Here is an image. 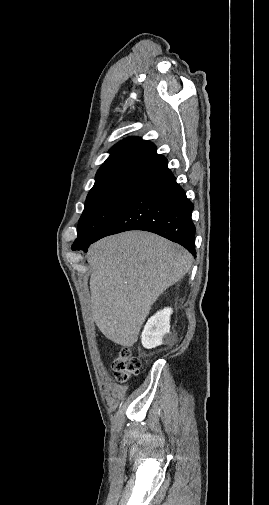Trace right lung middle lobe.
I'll list each match as a JSON object with an SVG mask.
<instances>
[{
    "instance_id": "1",
    "label": "right lung middle lobe",
    "mask_w": 269,
    "mask_h": 505,
    "mask_svg": "<svg viewBox=\"0 0 269 505\" xmlns=\"http://www.w3.org/2000/svg\"><path fill=\"white\" fill-rule=\"evenodd\" d=\"M137 190V188L126 186L92 188L88 193L85 209L78 223L77 238L72 245V250H79L93 242Z\"/></svg>"
}]
</instances>
